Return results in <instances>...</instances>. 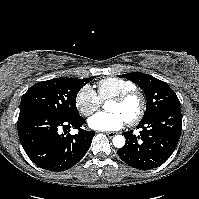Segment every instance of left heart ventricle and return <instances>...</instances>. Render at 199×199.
Listing matches in <instances>:
<instances>
[{"instance_id":"1","label":"left heart ventricle","mask_w":199,"mask_h":199,"mask_svg":"<svg viewBox=\"0 0 199 199\" xmlns=\"http://www.w3.org/2000/svg\"><path fill=\"white\" fill-rule=\"evenodd\" d=\"M139 107V101L136 97L129 99L123 104L111 102L108 106L110 113H120L126 120L136 114Z\"/></svg>"}]
</instances>
